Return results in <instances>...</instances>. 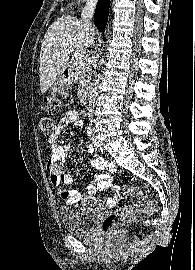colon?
<instances>
[{
    "instance_id": "5ec220e1",
    "label": "colon",
    "mask_w": 195,
    "mask_h": 270,
    "mask_svg": "<svg viewBox=\"0 0 195 270\" xmlns=\"http://www.w3.org/2000/svg\"><path fill=\"white\" fill-rule=\"evenodd\" d=\"M60 102L56 97H47L43 104V109L48 114H54L59 108ZM40 129L45 135H52L55 130V121L51 117H43L40 120ZM121 191L125 195H142V191L135 186H123ZM158 209V203L155 200H142L137 202L134 205H127L120 207L107 215L102 221L101 229L105 234H111L115 227L122 220L130 217L132 214L136 212L142 213H154Z\"/></svg>"
}]
</instances>
